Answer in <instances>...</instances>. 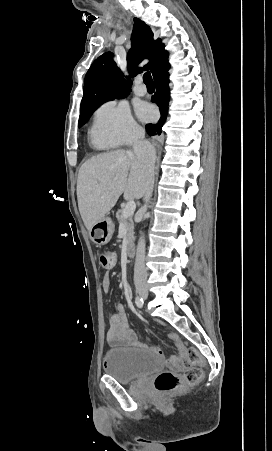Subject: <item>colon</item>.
I'll use <instances>...</instances> for the list:
<instances>
[{
	"label": "colon",
	"instance_id": "1",
	"mask_svg": "<svg viewBox=\"0 0 272 451\" xmlns=\"http://www.w3.org/2000/svg\"><path fill=\"white\" fill-rule=\"evenodd\" d=\"M102 268H108L115 263V254L101 251L98 255ZM171 370L162 371L154 380V387L163 393L173 392L183 386H191L200 379L203 360L193 349H186L172 360Z\"/></svg>",
	"mask_w": 272,
	"mask_h": 451
}]
</instances>
